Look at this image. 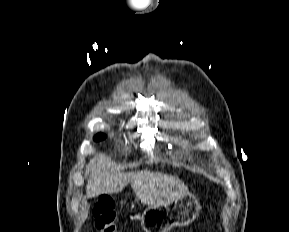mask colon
Segmentation results:
<instances>
[{
    "label": "colon",
    "mask_w": 289,
    "mask_h": 232,
    "mask_svg": "<svg viewBox=\"0 0 289 232\" xmlns=\"http://www.w3.org/2000/svg\"><path fill=\"white\" fill-rule=\"evenodd\" d=\"M97 232H119L116 226L117 211L115 203L109 196H100L94 207Z\"/></svg>",
    "instance_id": "1"
}]
</instances>
